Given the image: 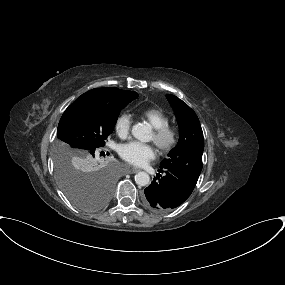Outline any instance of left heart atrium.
<instances>
[{"mask_svg":"<svg viewBox=\"0 0 285 285\" xmlns=\"http://www.w3.org/2000/svg\"><path fill=\"white\" fill-rule=\"evenodd\" d=\"M121 157L134 166H144L156 156L153 145L140 142H131L120 149Z\"/></svg>","mask_w":285,"mask_h":285,"instance_id":"39dd6f15","label":"left heart atrium"}]
</instances>
